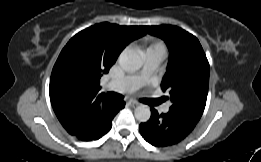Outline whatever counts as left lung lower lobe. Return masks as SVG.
<instances>
[{"label":"left lung lower lobe","instance_id":"obj_1","mask_svg":"<svg viewBox=\"0 0 261 162\" xmlns=\"http://www.w3.org/2000/svg\"><path fill=\"white\" fill-rule=\"evenodd\" d=\"M198 121L185 113L170 111L159 115L151 108V118L140 124L143 138L156 147H165L176 144L187 137Z\"/></svg>","mask_w":261,"mask_h":162}]
</instances>
